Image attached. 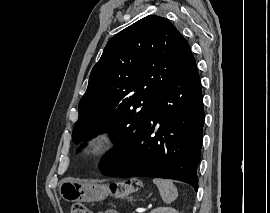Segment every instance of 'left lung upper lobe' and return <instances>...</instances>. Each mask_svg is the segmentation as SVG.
Returning a JSON list of instances; mask_svg holds the SVG:
<instances>
[{
  "label": "left lung upper lobe",
  "instance_id": "left-lung-upper-lobe-1",
  "mask_svg": "<svg viewBox=\"0 0 270 213\" xmlns=\"http://www.w3.org/2000/svg\"><path fill=\"white\" fill-rule=\"evenodd\" d=\"M194 64L189 44L166 18L146 16L122 30L91 71L74 142L107 129L116 143L132 137L149 119L157 98Z\"/></svg>",
  "mask_w": 270,
  "mask_h": 213
}]
</instances>
